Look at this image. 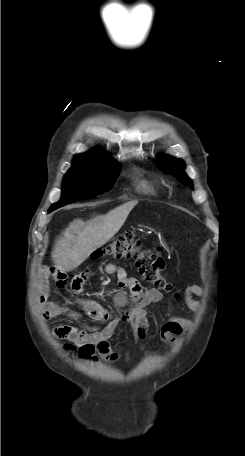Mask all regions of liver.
Wrapping results in <instances>:
<instances>
[{
  "label": "liver",
  "instance_id": "obj_1",
  "mask_svg": "<svg viewBox=\"0 0 245 456\" xmlns=\"http://www.w3.org/2000/svg\"><path fill=\"white\" fill-rule=\"evenodd\" d=\"M137 204L138 201H129L82 228L73 227L76 236L72 235L70 230L65 232L56 241L52 252L56 270H72L83 263L91 253L106 244L120 230Z\"/></svg>",
  "mask_w": 245,
  "mask_h": 456
}]
</instances>
